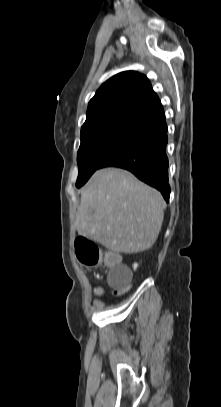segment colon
<instances>
[{"label": "colon", "mask_w": 221, "mask_h": 407, "mask_svg": "<svg viewBox=\"0 0 221 407\" xmlns=\"http://www.w3.org/2000/svg\"><path fill=\"white\" fill-rule=\"evenodd\" d=\"M76 254L79 261L85 266H96L101 262L100 250L95 243L86 239L78 238L75 243ZM103 263L110 267L114 266V261H121V252H104ZM124 291H117L121 293Z\"/></svg>", "instance_id": "obj_1"}]
</instances>
